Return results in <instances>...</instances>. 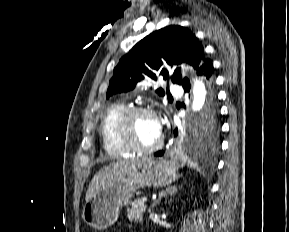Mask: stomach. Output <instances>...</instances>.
Returning <instances> with one entry per match:
<instances>
[{"label":"stomach","instance_id":"stomach-1","mask_svg":"<svg viewBox=\"0 0 289 232\" xmlns=\"http://www.w3.org/2000/svg\"><path fill=\"white\" fill-rule=\"evenodd\" d=\"M177 177L174 162L148 160L140 169L93 195L84 204L82 217L95 229H107L117 220L120 208L129 204L136 189L146 186L163 187L174 182Z\"/></svg>","mask_w":289,"mask_h":232}]
</instances>
